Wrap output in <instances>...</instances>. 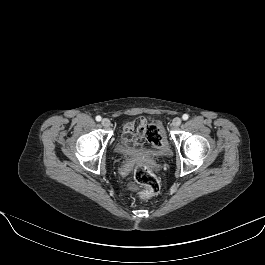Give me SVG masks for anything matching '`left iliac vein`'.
I'll return each mask as SVG.
<instances>
[{
  "instance_id": "4c4485c4",
  "label": "left iliac vein",
  "mask_w": 265,
  "mask_h": 265,
  "mask_svg": "<svg viewBox=\"0 0 265 265\" xmlns=\"http://www.w3.org/2000/svg\"><path fill=\"white\" fill-rule=\"evenodd\" d=\"M181 122H182L181 118L176 117L173 119L172 125L173 127L177 128L180 126Z\"/></svg>"
}]
</instances>
